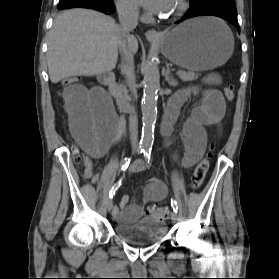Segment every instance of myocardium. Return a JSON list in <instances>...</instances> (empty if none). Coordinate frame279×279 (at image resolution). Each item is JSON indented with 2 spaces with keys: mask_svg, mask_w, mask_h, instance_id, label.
I'll list each match as a JSON object with an SVG mask.
<instances>
[{
  "mask_svg": "<svg viewBox=\"0 0 279 279\" xmlns=\"http://www.w3.org/2000/svg\"><path fill=\"white\" fill-rule=\"evenodd\" d=\"M187 9V2L186 0H178L177 7L175 11L169 15L165 20H174L178 18L185 10Z\"/></svg>",
  "mask_w": 279,
  "mask_h": 279,
  "instance_id": "myocardium-1",
  "label": "myocardium"
}]
</instances>
